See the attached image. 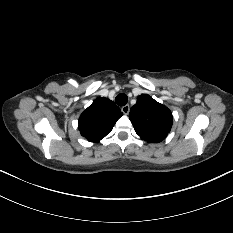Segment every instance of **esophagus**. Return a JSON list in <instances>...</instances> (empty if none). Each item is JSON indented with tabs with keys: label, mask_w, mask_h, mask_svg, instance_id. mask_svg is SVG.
<instances>
[{
	"label": "esophagus",
	"mask_w": 233,
	"mask_h": 233,
	"mask_svg": "<svg viewBox=\"0 0 233 233\" xmlns=\"http://www.w3.org/2000/svg\"><path fill=\"white\" fill-rule=\"evenodd\" d=\"M121 111H122L125 115L129 114V112H130V106H129V105L123 106V107L121 108Z\"/></svg>",
	"instance_id": "1"
}]
</instances>
